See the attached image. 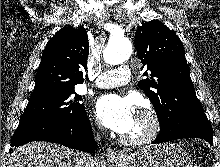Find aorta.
I'll list each match as a JSON object with an SVG mask.
<instances>
[{"mask_svg":"<svg viewBox=\"0 0 220 167\" xmlns=\"http://www.w3.org/2000/svg\"><path fill=\"white\" fill-rule=\"evenodd\" d=\"M132 51L131 41L127 38L110 39L103 53L104 61L111 65L122 64L129 59Z\"/></svg>","mask_w":220,"mask_h":167,"instance_id":"aorta-1","label":"aorta"}]
</instances>
